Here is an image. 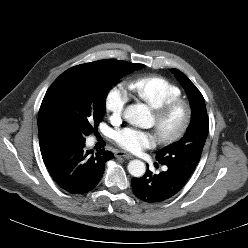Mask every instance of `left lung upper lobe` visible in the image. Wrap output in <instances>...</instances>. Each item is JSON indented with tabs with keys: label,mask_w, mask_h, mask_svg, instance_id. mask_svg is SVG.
Segmentation results:
<instances>
[{
	"label": "left lung upper lobe",
	"mask_w": 248,
	"mask_h": 248,
	"mask_svg": "<svg viewBox=\"0 0 248 248\" xmlns=\"http://www.w3.org/2000/svg\"><path fill=\"white\" fill-rule=\"evenodd\" d=\"M184 86L190 99L191 123L184 137L157 152L156 159L162 165L175 168L183 177L189 179L194 172L208 135L209 120L204 98L185 74L172 69Z\"/></svg>",
	"instance_id": "5c2ea615"
}]
</instances>
